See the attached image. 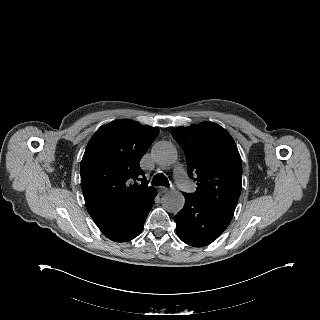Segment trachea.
Wrapping results in <instances>:
<instances>
[{
  "label": "trachea",
  "instance_id": "trachea-1",
  "mask_svg": "<svg viewBox=\"0 0 320 320\" xmlns=\"http://www.w3.org/2000/svg\"><path fill=\"white\" fill-rule=\"evenodd\" d=\"M152 186H169V181L165 175L162 173L156 174L151 182Z\"/></svg>",
  "mask_w": 320,
  "mask_h": 320
}]
</instances>
